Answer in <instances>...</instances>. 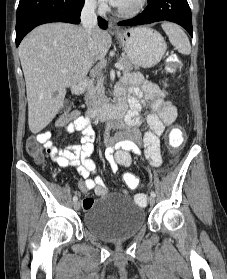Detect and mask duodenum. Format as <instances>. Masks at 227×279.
Masks as SVG:
<instances>
[{"mask_svg": "<svg viewBox=\"0 0 227 279\" xmlns=\"http://www.w3.org/2000/svg\"><path fill=\"white\" fill-rule=\"evenodd\" d=\"M89 80L83 78L77 85L72 88L75 95H80L84 92ZM126 112V105L123 101H118L115 105H103L90 112V115L96 120L105 119H122Z\"/></svg>", "mask_w": 227, "mask_h": 279, "instance_id": "duodenum-1", "label": "duodenum"}]
</instances>
